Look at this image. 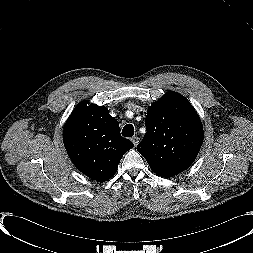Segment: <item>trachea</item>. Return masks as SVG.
<instances>
[{
    "label": "trachea",
    "instance_id": "3493384b",
    "mask_svg": "<svg viewBox=\"0 0 253 253\" xmlns=\"http://www.w3.org/2000/svg\"><path fill=\"white\" fill-rule=\"evenodd\" d=\"M122 135L124 137H132L134 135V127L132 124H127L122 130Z\"/></svg>",
    "mask_w": 253,
    "mask_h": 253
}]
</instances>
